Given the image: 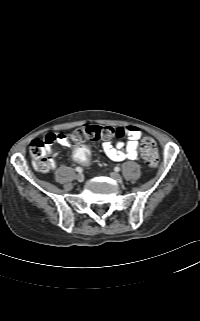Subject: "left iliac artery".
<instances>
[{
  "mask_svg": "<svg viewBox=\"0 0 200 321\" xmlns=\"http://www.w3.org/2000/svg\"><path fill=\"white\" fill-rule=\"evenodd\" d=\"M116 172H119L120 171V168L117 166V167H115V169H114Z\"/></svg>",
  "mask_w": 200,
  "mask_h": 321,
  "instance_id": "44dca946",
  "label": "left iliac artery"
}]
</instances>
